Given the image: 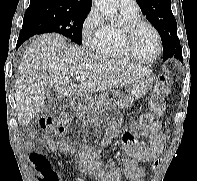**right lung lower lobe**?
<instances>
[{"instance_id": "1", "label": "right lung lower lobe", "mask_w": 197, "mask_h": 181, "mask_svg": "<svg viewBox=\"0 0 197 181\" xmlns=\"http://www.w3.org/2000/svg\"><path fill=\"white\" fill-rule=\"evenodd\" d=\"M34 34L32 32H29L27 30H21L20 35L17 41V48L28 38L32 37Z\"/></svg>"}]
</instances>
